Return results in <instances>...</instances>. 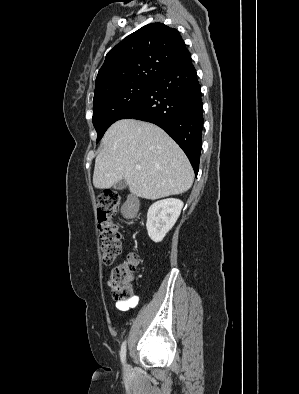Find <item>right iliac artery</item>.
Returning a JSON list of instances; mask_svg holds the SVG:
<instances>
[{
  "instance_id": "right-iliac-artery-1",
  "label": "right iliac artery",
  "mask_w": 299,
  "mask_h": 394,
  "mask_svg": "<svg viewBox=\"0 0 299 394\" xmlns=\"http://www.w3.org/2000/svg\"><path fill=\"white\" fill-rule=\"evenodd\" d=\"M120 357H121L122 363H125V359H126V341H124L122 343L121 351H120Z\"/></svg>"
}]
</instances>
